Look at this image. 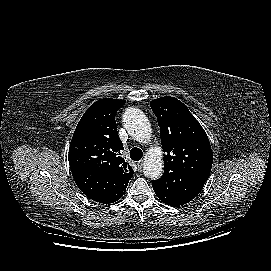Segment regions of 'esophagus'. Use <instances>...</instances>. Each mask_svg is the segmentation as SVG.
<instances>
[{
  "label": "esophagus",
  "mask_w": 271,
  "mask_h": 271,
  "mask_svg": "<svg viewBox=\"0 0 271 271\" xmlns=\"http://www.w3.org/2000/svg\"><path fill=\"white\" fill-rule=\"evenodd\" d=\"M137 166H138V169L141 170L142 167H143V160L139 161V162L137 163Z\"/></svg>",
  "instance_id": "34e87169"
}]
</instances>
